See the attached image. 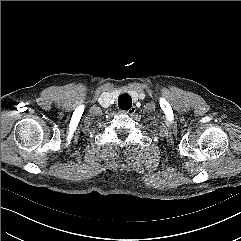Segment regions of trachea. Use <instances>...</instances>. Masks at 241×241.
<instances>
[{
    "mask_svg": "<svg viewBox=\"0 0 241 241\" xmlns=\"http://www.w3.org/2000/svg\"><path fill=\"white\" fill-rule=\"evenodd\" d=\"M118 106L121 110H129L132 107V99L129 94H122L118 98Z\"/></svg>",
    "mask_w": 241,
    "mask_h": 241,
    "instance_id": "3493384b",
    "label": "trachea"
}]
</instances>
